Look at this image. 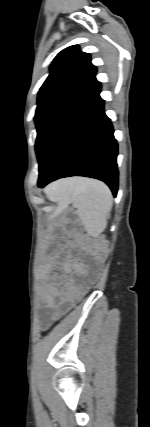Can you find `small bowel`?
<instances>
[{
	"label": "small bowel",
	"instance_id": "obj_1",
	"mask_svg": "<svg viewBox=\"0 0 150 427\" xmlns=\"http://www.w3.org/2000/svg\"><path fill=\"white\" fill-rule=\"evenodd\" d=\"M63 268L71 269L67 264ZM50 270V265H44L41 269L42 286L40 297L44 308L40 316V323L44 328L48 327L58 316L65 313L76 300L78 293L84 288V282L79 285L70 282L60 290L59 285L62 283V279L52 274ZM57 299H60V301L57 302Z\"/></svg>",
	"mask_w": 150,
	"mask_h": 427
}]
</instances>
